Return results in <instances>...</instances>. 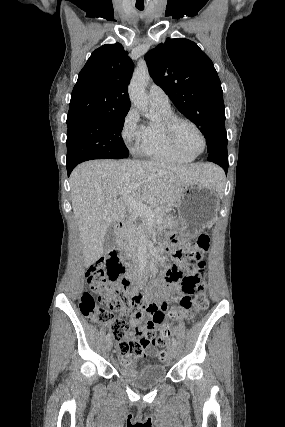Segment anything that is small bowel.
<instances>
[{"label":"small bowel","instance_id":"small-bowel-1","mask_svg":"<svg viewBox=\"0 0 285 427\" xmlns=\"http://www.w3.org/2000/svg\"><path fill=\"white\" fill-rule=\"evenodd\" d=\"M203 261L202 255H196L194 258L189 261H183L181 266L186 267L187 273L190 274H200V269L197 267L196 262ZM187 295L186 291L183 290L180 286L174 285L170 288L160 287L157 294L154 296V301H150L149 295H138L140 308L143 310L141 313L137 314L131 321L133 330L138 325H143L145 327H151L155 323H162L163 314L166 313L169 307V303L177 302ZM178 310L180 308H177ZM145 313L151 316V319L148 320L145 318ZM186 314H181L177 317L178 321L185 318ZM154 353L153 350L145 351L137 360L147 357L149 354ZM123 365H129L128 363L122 361Z\"/></svg>","mask_w":285,"mask_h":427}]
</instances>
